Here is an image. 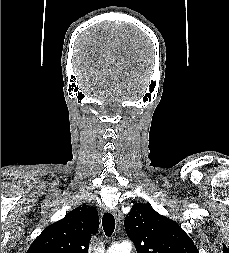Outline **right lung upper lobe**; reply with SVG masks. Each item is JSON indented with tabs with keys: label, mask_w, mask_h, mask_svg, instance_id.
Instances as JSON below:
<instances>
[{
	"label": "right lung upper lobe",
	"mask_w": 229,
	"mask_h": 253,
	"mask_svg": "<svg viewBox=\"0 0 229 253\" xmlns=\"http://www.w3.org/2000/svg\"><path fill=\"white\" fill-rule=\"evenodd\" d=\"M98 227L96 208L79 206L45 228L27 253H88L91 236Z\"/></svg>",
	"instance_id": "cb5924a9"
}]
</instances>
